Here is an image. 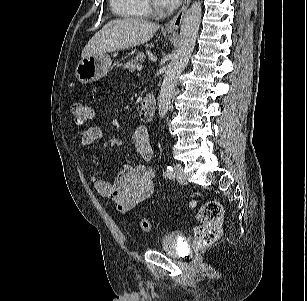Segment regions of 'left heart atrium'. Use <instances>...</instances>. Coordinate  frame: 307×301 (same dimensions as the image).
<instances>
[{
  "instance_id": "39dd6f15",
  "label": "left heart atrium",
  "mask_w": 307,
  "mask_h": 301,
  "mask_svg": "<svg viewBox=\"0 0 307 301\" xmlns=\"http://www.w3.org/2000/svg\"><path fill=\"white\" fill-rule=\"evenodd\" d=\"M162 9H173L179 5L181 0H153Z\"/></svg>"
}]
</instances>
